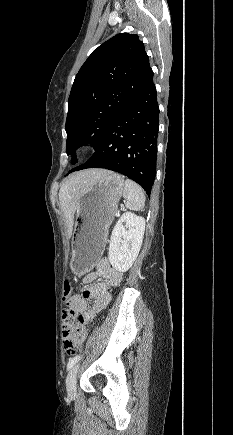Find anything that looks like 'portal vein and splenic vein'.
<instances>
[{"label":"portal vein and splenic vein","mask_w":233,"mask_h":435,"mask_svg":"<svg viewBox=\"0 0 233 435\" xmlns=\"http://www.w3.org/2000/svg\"><path fill=\"white\" fill-rule=\"evenodd\" d=\"M116 215H117V216H119V215H120V214H119V212H118V213H116Z\"/></svg>","instance_id":"obj_1"}]
</instances>
